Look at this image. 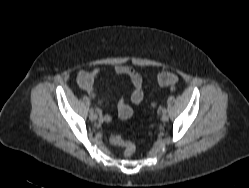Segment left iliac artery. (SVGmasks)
I'll return each instance as SVG.
<instances>
[{"mask_svg": "<svg viewBox=\"0 0 249 188\" xmlns=\"http://www.w3.org/2000/svg\"><path fill=\"white\" fill-rule=\"evenodd\" d=\"M162 112H163V113H167V109H166V108H163V109H162Z\"/></svg>", "mask_w": 249, "mask_h": 188, "instance_id": "44dca946", "label": "left iliac artery"}]
</instances>
